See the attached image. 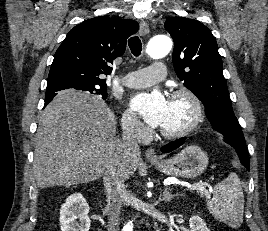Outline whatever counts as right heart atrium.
Returning <instances> with one entry per match:
<instances>
[{
    "instance_id": "obj_1",
    "label": "right heart atrium",
    "mask_w": 268,
    "mask_h": 231,
    "mask_svg": "<svg viewBox=\"0 0 268 231\" xmlns=\"http://www.w3.org/2000/svg\"><path fill=\"white\" fill-rule=\"evenodd\" d=\"M122 124L125 131L134 133L135 137H141V132L145 130L143 124L130 112L124 111L122 114Z\"/></svg>"
}]
</instances>
